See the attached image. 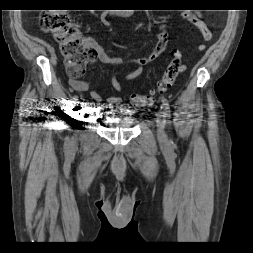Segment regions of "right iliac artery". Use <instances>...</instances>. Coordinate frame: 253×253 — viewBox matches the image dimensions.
<instances>
[{
	"instance_id": "right-iliac-artery-1",
	"label": "right iliac artery",
	"mask_w": 253,
	"mask_h": 253,
	"mask_svg": "<svg viewBox=\"0 0 253 253\" xmlns=\"http://www.w3.org/2000/svg\"><path fill=\"white\" fill-rule=\"evenodd\" d=\"M78 101H79V98L77 97L76 94H73L72 95V100L70 101V105H69V108H68V117L69 119H71V115H72V111L75 109V107L77 106L78 104Z\"/></svg>"
}]
</instances>
